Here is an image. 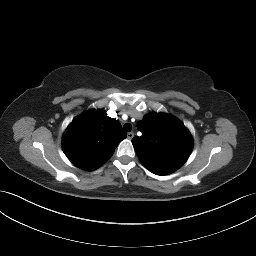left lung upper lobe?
I'll list each match as a JSON object with an SVG mask.
<instances>
[{"mask_svg":"<svg viewBox=\"0 0 256 256\" xmlns=\"http://www.w3.org/2000/svg\"><path fill=\"white\" fill-rule=\"evenodd\" d=\"M142 136L132 139L141 163L152 173L167 175L180 168L192 152L190 132L176 118L150 113L138 122Z\"/></svg>","mask_w":256,"mask_h":256,"instance_id":"obj_1","label":"left lung upper lobe"}]
</instances>
